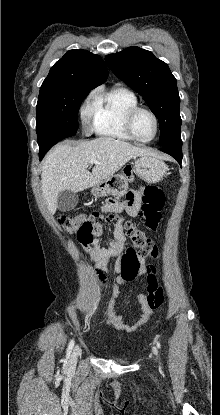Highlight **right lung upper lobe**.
Instances as JSON below:
<instances>
[{"label": "right lung upper lobe", "instance_id": "cb5924a9", "mask_svg": "<svg viewBox=\"0 0 220 415\" xmlns=\"http://www.w3.org/2000/svg\"><path fill=\"white\" fill-rule=\"evenodd\" d=\"M107 67L98 55L70 50L50 69L41 87H70L92 90L106 81Z\"/></svg>", "mask_w": 220, "mask_h": 415}]
</instances>
